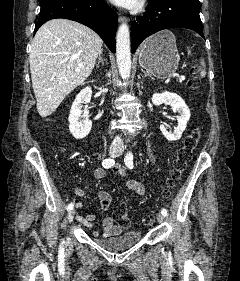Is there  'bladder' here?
Instances as JSON below:
<instances>
[{"label": "bladder", "instance_id": "1", "mask_svg": "<svg viewBox=\"0 0 240 281\" xmlns=\"http://www.w3.org/2000/svg\"><path fill=\"white\" fill-rule=\"evenodd\" d=\"M142 238L139 231H131L115 236H98L95 237V242L102 248L110 251H122L136 245Z\"/></svg>", "mask_w": 240, "mask_h": 281}]
</instances>
